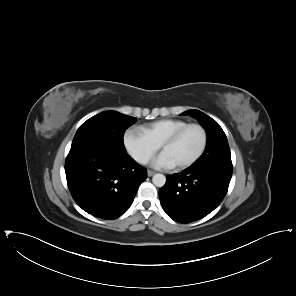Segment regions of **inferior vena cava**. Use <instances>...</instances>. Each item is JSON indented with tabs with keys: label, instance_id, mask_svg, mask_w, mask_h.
Wrapping results in <instances>:
<instances>
[{
	"label": "inferior vena cava",
	"instance_id": "1",
	"mask_svg": "<svg viewBox=\"0 0 296 296\" xmlns=\"http://www.w3.org/2000/svg\"><path fill=\"white\" fill-rule=\"evenodd\" d=\"M149 158H150L149 155H145L142 153H138L134 156V159L141 164H147L149 161Z\"/></svg>",
	"mask_w": 296,
	"mask_h": 296
}]
</instances>
